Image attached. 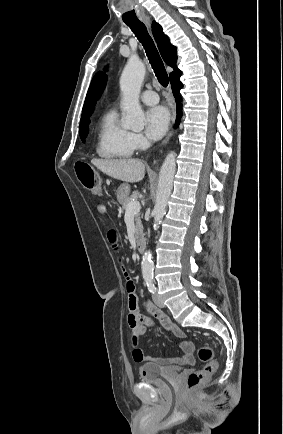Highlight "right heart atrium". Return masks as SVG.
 Segmentation results:
<instances>
[{
  "label": "right heart atrium",
  "mask_w": 283,
  "mask_h": 434,
  "mask_svg": "<svg viewBox=\"0 0 283 434\" xmlns=\"http://www.w3.org/2000/svg\"><path fill=\"white\" fill-rule=\"evenodd\" d=\"M131 143L134 150H144L149 146L148 139L139 132H131Z\"/></svg>",
  "instance_id": "d8ad5b80"
}]
</instances>
